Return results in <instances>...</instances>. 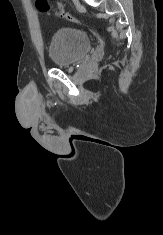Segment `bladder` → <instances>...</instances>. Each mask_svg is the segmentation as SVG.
<instances>
[{
    "instance_id": "bladder-1",
    "label": "bladder",
    "mask_w": 163,
    "mask_h": 235,
    "mask_svg": "<svg viewBox=\"0 0 163 235\" xmlns=\"http://www.w3.org/2000/svg\"><path fill=\"white\" fill-rule=\"evenodd\" d=\"M94 47L88 31L79 27H62L55 31L49 44L51 60L58 66H69L86 56Z\"/></svg>"
}]
</instances>
